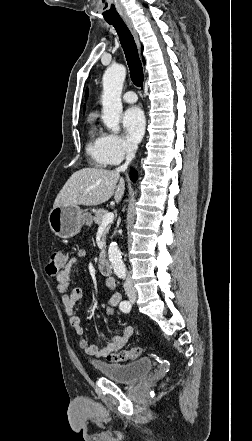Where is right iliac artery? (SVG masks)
Masks as SVG:
<instances>
[{
    "instance_id": "82829eb1",
    "label": "right iliac artery",
    "mask_w": 252,
    "mask_h": 441,
    "mask_svg": "<svg viewBox=\"0 0 252 441\" xmlns=\"http://www.w3.org/2000/svg\"><path fill=\"white\" fill-rule=\"evenodd\" d=\"M126 304H130L129 301H122L120 304V310L124 313H126V311H125Z\"/></svg>"
}]
</instances>
